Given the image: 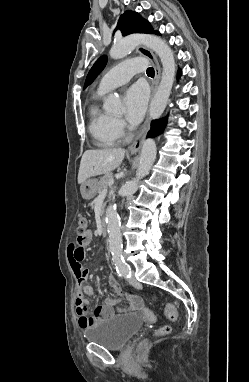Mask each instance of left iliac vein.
I'll list each match as a JSON object with an SVG mask.
<instances>
[{
	"instance_id": "4c4485c4",
	"label": "left iliac vein",
	"mask_w": 249,
	"mask_h": 382,
	"mask_svg": "<svg viewBox=\"0 0 249 382\" xmlns=\"http://www.w3.org/2000/svg\"><path fill=\"white\" fill-rule=\"evenodd\" d=\"M128 281L130 284H135L137 282V280L134 277H130Z\"/></svg>"
}]
</instances>
